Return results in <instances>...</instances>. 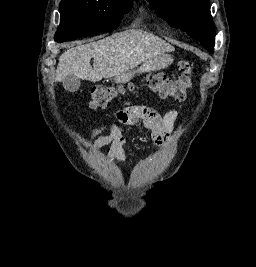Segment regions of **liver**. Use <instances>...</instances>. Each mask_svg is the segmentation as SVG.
<instances>
[{
    "mask_svg": "<svg viewBox=\"0 0 256 267\" xmlns=\"http://www.w3.org/2000/svg\"><path fill=\"white\" fill-rule=\"evenodd\" d=\"M164 52H174V48L158 36L143 30H125L93 44L66 50L59 58L55 80L62 82L74 74L89 82H100L102 78L114 76L122 82L125 72ZM91 58H94L93 68Z\"/></svg>",
    "mask_w": 256,
    "mask_h": 267,
    "instance_id": "6515ba94",
    "label": "liver"
}]
</instances>
